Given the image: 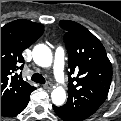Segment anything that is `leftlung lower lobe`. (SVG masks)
<instances>
[{
  "label": "left lung lower lobe",
  "mask_w": 121,
  "mask_h": 121,
  "mask_svg": "<svg viewBox=\"0 0 121 121\" xmlns=\"http://www.w3.org/2000/svg\"><path fill=\"white\" fill-rule=\"evenodd\" d=\"M55 113L64 121H71L67 118L66 114L60 109V107L53 106Z\"/></svg>",
  "instance_id": "1"
}]
</instances>
